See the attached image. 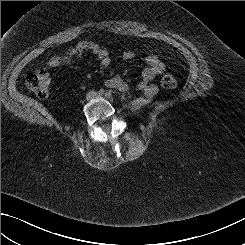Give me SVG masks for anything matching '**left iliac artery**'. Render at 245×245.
<instances>
[{
	"label": "left iliac artery",
	"instance_id": "left-iliac-artery-1",
	"mask_svg": "<svg viewBox=\"0 0 245 245\" xmlns=\"http://www.w3.org/2000/svg\"><path fill=\"white\" fill-rule=\"evenodd\" d=\"M105 96L107 98H111L112 97V93L110 91H108V92L105 93Z\"/></svg>",
	"mask_w": 245,
	"mask_h": 245
}]
</instances>
